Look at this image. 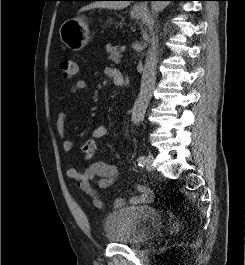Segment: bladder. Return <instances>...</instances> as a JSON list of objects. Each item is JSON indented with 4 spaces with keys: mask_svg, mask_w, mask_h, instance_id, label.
Segmentation results:
<instances>
[{
    "mask_svg": "<svg viewBox=\"0 0 245 265\" xmlns=\"http://www.w3.org/2000/svg\"><path fill=\"white\" fill-rule=\"evenodd\" d=\"M163 221L156 208L132 205L109 213L103 223V233L112 243L140 245L157 233Z\"/></svg>",
    "mask_w": 245,
    "mask_h": 265,
    "instance_id": "31cf9c89",
    "label": "bladder"
}]
</instances>
